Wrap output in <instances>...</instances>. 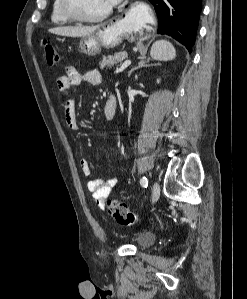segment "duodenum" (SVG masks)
Masks as SVG:
<instances>
[{
    "mask_svg": "<svg viewBox=\"0 0 247 299\" xmlns=\"http://www.w3.org/2000/svg\"><path fill=\"white\" fill-rule=\"evenodd\" d=\"M116 113V103L113 101H108L104 108V117L106 120H111Z\"/></svg>",
    "mask_w": 247,
    "mask_h": 299,
    "instance_id": "duodenum-1",
    "label": "duodenum"
}]
</instances>
